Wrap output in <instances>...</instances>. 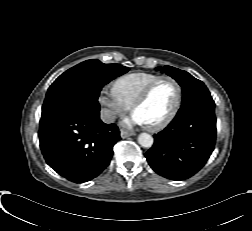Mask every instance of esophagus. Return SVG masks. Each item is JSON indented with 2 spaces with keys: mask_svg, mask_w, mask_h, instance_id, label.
Masks as SVG:
<instances>
[{
  "mask_svg": "<svg viewBox=\"0 0 252 231\" xmlns=\"http://www.w3.org/2000/svg\"><path fill=\"white\" fill-rule=\"evenodd\" d=\"M133 135H135V133L128 132V131H125V130H121V132H120V136L123 139L128 138V137L133 136Z\"/></svg>",
  "mask_w": 252,
  "mask_h": 231,
  "instance_id": "1",
  "label": "esophagus"
}]
</instances>
